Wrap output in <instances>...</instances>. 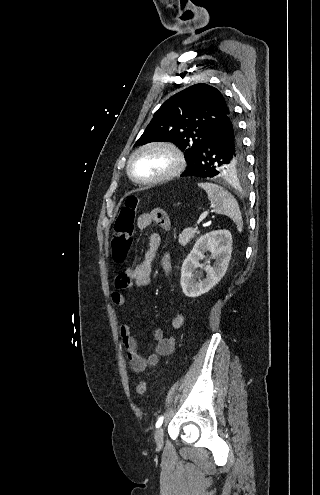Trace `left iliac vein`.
I'll list each match as a JSON object with an SVG mask.
<instances>
[{
  "label": "left iliac vein",
  "mask_w": 320,
  "mask_h": 495,
  "mask_svg": "<svg viewBox=\"0 0 320 495\" xmlns=\"http://www.w3.org/2000/svg\"><path fill=\"white\" fill-rule=\"evenodd\" d=\"M155 442L158 448H161L163 446L164 442V431L162 427H159L154 435Z\"/></svg>",
  "instance_id": "4c4485c4"
}]
</instances>
